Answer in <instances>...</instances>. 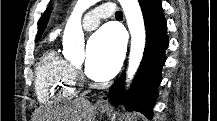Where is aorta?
<instances>
[{"label": "aorta", "mask_w": 217, "mask_h": 121, "mask_svg": "<svg viewBox=\"0 0 217 121\" xmlns=\"http://www.w3.org/2000/svg\"><path fill=\"white\" fill-rule=\"evenodd\" d=\"M98 0H78L65 27L63 34V54L69 60L84 58V34L81 17L84 11ZM131 34V49L127 68V83L136 74L145 48V26L138 0H119Z\"/></svg>", "instance_id": "aorta-1"}]
</instances>
